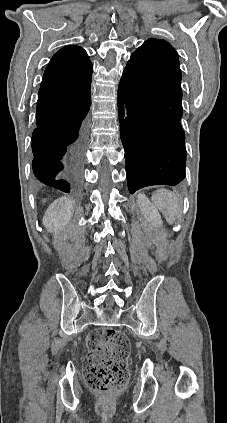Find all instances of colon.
Instances as JSON below:
<instances>
[{"label":"colon","instance_id":"5ec220e1","mask_svg":"<svg viewBox=\"0 0 227 423\" xmlns=\"http://www.w3.org/2000/svg\"><path fill=\"white\" fill-rule=\"evenodd\" d=\"M87 347L84 363L87 387L105 394L123 389L129 375V339L120 331L101 327L88 335Z\"/></svg>","mask_w":227,"mask_h":423}]
</instances>
